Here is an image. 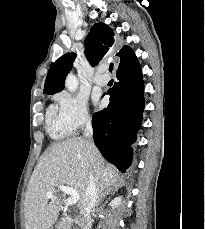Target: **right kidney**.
<instances>
[{"label":"right kidney","instance_id":"right-kidney-1","mask_svg":"<svg viewBox=\"0 0 205 229\" xmlns=\"http://www.w3.org/2000/svg\"><path fill=\"white\" fill-rule=\"evenodd\" d=\"M121 201H122V197L119 196V197L114 198V200H112L109 205L112 208H115L121 204Z\"/></svg>","mask_w":205,"mask_h":229}]
</instances>
